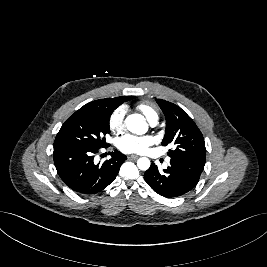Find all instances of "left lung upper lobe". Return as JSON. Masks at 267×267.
<instances>
[{
	"mask_svg": "<svg viewBox=\"0 0 267 267\" xmlns=\"http://www.w3.org/2000/svg\"><path fill=\"white\" fill-rule=\"evenodd\" d=\"M166 118V133L162 145L174 144L168 156L205 165L206 148L202 133L194 121L177 105L157 99Z\"/></svg>",
	"mask_w": 267,
	"mask_h": 267,
	"instance_id": "1",
	"label": "left lung upper lobe"
}]
</instances>
